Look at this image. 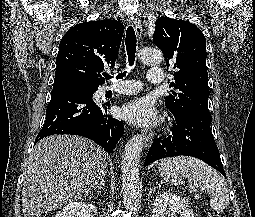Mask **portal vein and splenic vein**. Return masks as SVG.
I'll use <instances>...</instances> for the list:
<instances>
[{
  "label": "portal vein and splenic vein",
  "mask_w": 255,
  "mask_h": 217,
  "mask_svg": "<svg viewBox=\"0 0 255 217\" xmlns=\"http://www.w3.org/2000/svg\"><path fill=\"white\" fill-rule=\"evenodd\" d=\"M190 191H195V189L191 187V188H190Z\"/></svg>",
  "instance_id": "18ae733b"
}]
</instances>
